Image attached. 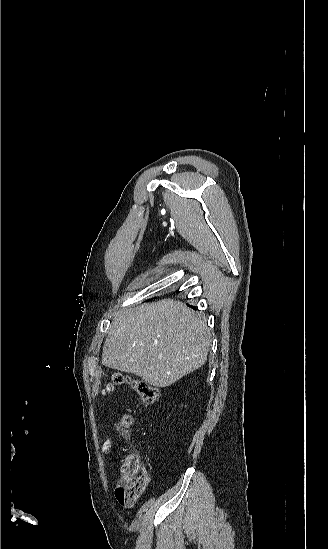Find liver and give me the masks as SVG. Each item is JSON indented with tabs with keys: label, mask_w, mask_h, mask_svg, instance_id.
Masks as SVG:
<instances>
[{
	"label": "liver",
	"mask_w": 328,
	"mask_h": 549,
	"mask_svg": "<svg viewBox=\"0 0 328 549\" xmlns=\"http://www.w3.org/2000/svg\"><path fill=\"white\" fill-rule=\"evenodd\" d=\"M109 327L102 365L170 387L205 365L211 335L206 319L185 303L163 299L118 311Z\"/></svg>",
	"instance_id": "obj_1"
}]
</instances>
